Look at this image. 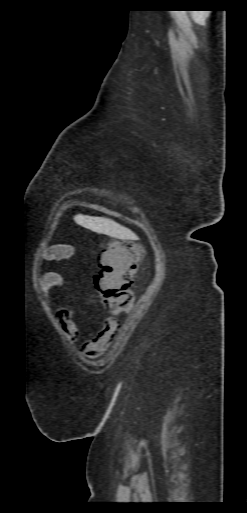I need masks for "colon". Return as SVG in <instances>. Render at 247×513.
<instances>
[{
	"mask_svg": "<svg viewBox=\"0 0 247 513\" xmlns=\"http://www.w3.org/2000/svg\"><path fill=\"white\" fill-rule=\"evenodd\" d=\"M140 251L130 241L107 244L97 260L94 287L102 306L110 313H121L132 305V285L138 272Z\"/></svg>",
	"mask_w": 247,
	"mask_h": 513,
	"instance_id": "5ec220e1",
	"label": "colon"
}]
</instances>
